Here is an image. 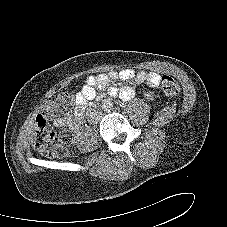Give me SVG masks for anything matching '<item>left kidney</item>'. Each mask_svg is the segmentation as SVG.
I'll use <instances>...</instances> for the list:
<instances>
[{"mask_svg":"<svg viewBox=\"0 0 227 227\" xmlns=\"http://www.w3.org/2000/svg\"><path fill=\"white\" fill-rule=\"evenodd\" d=\"M145 95L148 99L154 98V94L152 92H147V93H145Z\"/></svg>","mask_w":227,"mask_h":227,"instance_id":"1","label":"left kidney"}]
</instances>
